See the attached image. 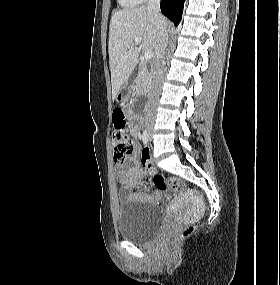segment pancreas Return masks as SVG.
Instances as JSON below:
<instances>
[{
	"label": "pancreas",
	"mask_w": 280,
	"mask_h": 285,
	"mask_svg": "<svg viewBox=\"0 0 280 285\" xmlns=\"http://www.w3.org/2000/svg\"><path fill=\"white\" fill-rule=\"evenodd\" d=\"M152 83V70L148 69L147 63L144 62L140 66V70L136 79L137 94L147 93Z\"/></svg>",
	"instance_id": "1"
}]
</instances>
